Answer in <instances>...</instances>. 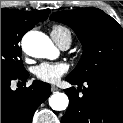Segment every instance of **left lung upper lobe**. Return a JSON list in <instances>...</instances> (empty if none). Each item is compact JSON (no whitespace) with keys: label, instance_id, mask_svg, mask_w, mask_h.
Wrapping results in <instances>:
<instances>
[{"label":"left lung upper lobe","instance_id":"left-lung-upper-lobe-1","mask_svg":"<svg viewBox=\"0 0 123 123\" xmlns=\"http://www.w3.org/2000/svg\"><path fill=\"white\" fill-rule=\"evenodd\" d=\"M50 20L70 26L83 45V55L68 75L79 81L106 73H123V29L97 8L52 14Z\"/></svg>","mask_w":123,"mask_h":123}]
</instances>
